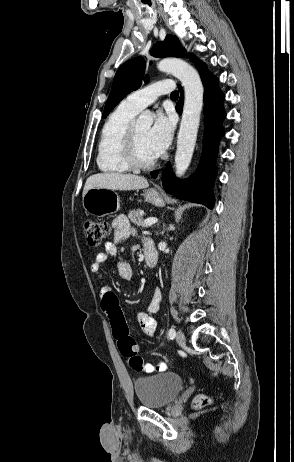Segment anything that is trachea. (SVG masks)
I'll use <instances>...</instances> for the list:
<instances>
[{
  "label": "trachea",
  "mask_w": 294,
  "mask_h": 462,
  "mask_svg": "<svg viewBox=\"0 0 294 462\" xmlns=\"http://www.w3.org/2000/svg\"><path fill=\"white\" fill-rule=\"evenodd\" d=\"M178 96H179L178 91H174V92H172L171 95H170L171 98H178Z\"/></svg>",
  "instance_id": "trachea-1"
}]
</instances>
